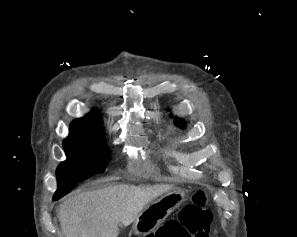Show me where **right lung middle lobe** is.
Wrapping results in <instances>:
<instances>
[{
  "mask_svg": "<svg viewBox=\"0 0 297 237\" xmlns=\"http://www.w3.org/2000/svg\"><path fill=\"white\" fill-rule=\"evenodd\" d=\"M67 160L56 171L58 189L53 197L57 200L70 192L79 181L97 172H103L109 162L110 152L104 129L98 132L71 131L63 141Z\"/></svg>",
  "mask_w": 297,
  "mask_h": 237,
  "instance_id": "obj_1",
  "label": "right lung middle lobe"
}]
</instances>
